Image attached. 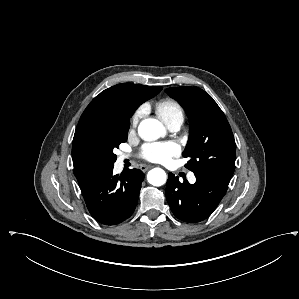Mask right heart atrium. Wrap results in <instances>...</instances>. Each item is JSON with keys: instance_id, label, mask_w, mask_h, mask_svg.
<instances>
[{"instance_id": "obj_1", "label": "right heart atrium", "mask_w": 299, "mask_h": 299, "mask_svg": "<svg viewBox=\"0 0 299 299\" xmlns=\"http://www.w3.org/2000/svg\"><path fill=\"white\" fill-rule=\"evenodd\" d=\"M144 114V107L141 106L139 107L134 113L133 115L131 116V119H130V126H131V129H134L136 128L139 120L141 119V117L143 116Z\"/></svg>"}]
</instances>
